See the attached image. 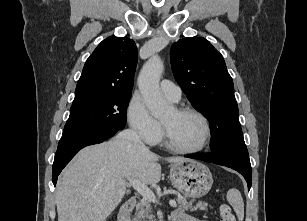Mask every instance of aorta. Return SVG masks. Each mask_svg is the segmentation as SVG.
I'll list each match as a JSON object with an SVG mask.
<instances>
[{
    "instance_id": "762f6f07",
    "label": "aorta",
    "mask_w": 307,
    "mask_h": 221,
    "mask_svg": "<svg viewBox=\"0 0 307 221\" xmlns=\"http://www.w3.org/2000/svg\"><path fill=\"white\" fill-rule=\"evenodd\" d=\"M164 65L158 55H153L142 67L138 76V87L143 100L155 118H160L170 110V105L163 99L159 81Z\"/></svg>"
}]
</instances>
